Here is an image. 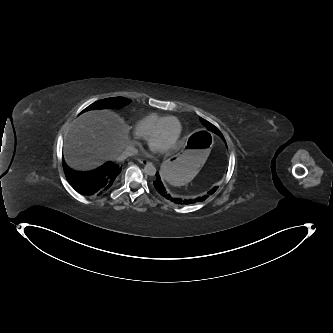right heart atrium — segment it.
Listing matches in <instances>:
<instances>
[{
	"label": "right heart atrium",
	"instance_id": "1",
	"mask_svg": "<svg viewBox=\"0 0 333 333\" xmlns=\"http://www.w3.org/2000/svg\"><path fill=\"white\" fill-rule=\"evenodd\" d=\"M139 138L140 137L137 134H135L132 141H131L132 145L137 144L139 142Z\"/></svg>",
	"mask_w": 333,
	"mask_h": 333
}]
</instances>
